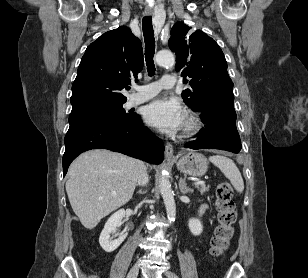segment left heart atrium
<instances>
[{
	"instance_id": "1",
	"label": "left heart atrium",
	"mask_w": 308,
	"mask_h": 278,
	"mask_svg": "<svg viewBox=\"0 0 308 278\" xmlns=\"http://www.w3.org/2000/svg\"><path fill=\"white\" fill-rule=\"evenodd\" d=\"M146 122L162 132H175L185 122L182 105L172 98H161L152 101L144 110Z\"/></svg>"
}]
</instances>
